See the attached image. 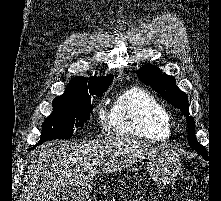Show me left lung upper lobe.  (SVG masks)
<instances>
[{
	"label": "left lung upper lobe",
	"mask_w": 221,
	"mask_h": 201,
	"mask_svg": "<svg viewBox=\"0 0 221 201\" xmlns=\"http://www.w3.org/2000/svg\"><path fill=\"white\" fill-rule=\"evenodd\" d=\"M140 79L149 84L156 92L166 99L171 105L181 110L184 115H187L188 123V143L197 151L202 157L208 160V153L206 149L198 143L194 136L195 122L189 116L187 95L182 92L175 84V78L162 73L159 68L153 65H145L137 71Z\"/></svg>",
	"instance_id": "1"
}]
</instances>
